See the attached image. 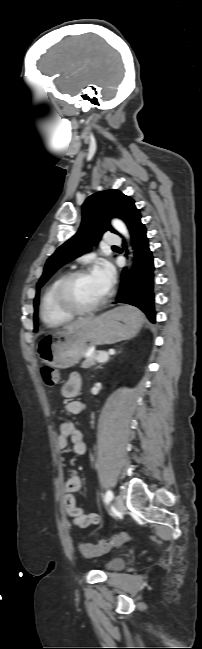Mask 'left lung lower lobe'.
<instances>
[{
    "label": "left lung lower lobe",
    "mask_w": 202,
    "mask_h": 649,
    "mask_svg": "<svg viewBox=\"0 0 202 649\" xmlns=\"http://www.w3.org/2000/svg\"><path fill=\"white\" fill-rule=\"evenodd\" d=\"M133 247L134 263L129 274L124 269L121 275L120 290L114 303H126L141 309L148 319L155 323L153 272L154 262L149 248L146 228L141 217L136 216L128 226ZM124 243V247H125Z\"/></svg>",
    "instance_id": "1"
}]
</instances>
